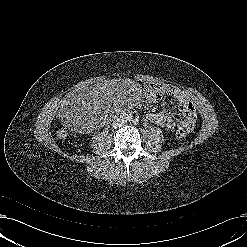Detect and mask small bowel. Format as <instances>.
Wrapping results in <instances>:
<instances>
[{
  "label": "small bowel",
  "mask_w": 247,
  "mask_h": 247,
  "mask_svg": "<svg viewBox=\"0 0 247 247\" xmlns=\"http://www.w3.org/2000/svg\"><path fill=\"white\" fill-rule=\"evenodd\" d=\"M153 85L158 87L160 96L166 94L172 96L176 100L178 110L182 113L183 119L176 120L169 112L160 111L149 113L147 115L148 120L166 129H185L187 132L192 131L196 124V112L193 102L179 88L173 85L164 83H156Z\"/></svg>",
  "instance_id": "1"
}]
</instances>
